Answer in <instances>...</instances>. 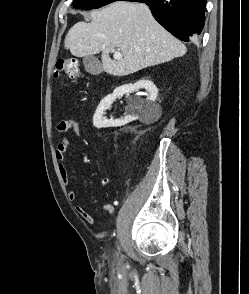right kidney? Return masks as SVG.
<instances>
[{"label":"right kidney","mask_w":249,"mask_h":294,"mask_svg":"<svg viewBox=\"0 0 249 294\" xmlns=\"http://www.w3.org/2000/svg\"><path fill=\"white\" fill-rule=\"evenodd\" d=\"M139 89H145L148 94L142 100L134 97L129 101V110L124 119H107L103 116L104 112L110 108L113 101L124 94L133 93ZM158 89L154 83L148 79H141L134 84H125L117 87L112 94L103 98L93 116V124L96 128L120 127L131 121L139 119L142 122H154L161 115V108L155 102Z\"/></svg>","instance_id":"1"}]
</instances>
